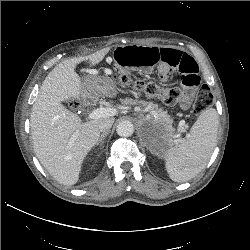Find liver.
I'll return each mask as SVG.
<instances>
[{
  "label": "liver",
  "instance_id": "1",
  "mask_svg": "<svg viewBox=\"0 0 250 250\" xmlns=\"http://www.w3.org/2000/svg\"><path fill=\"white\" fill-rule=\"evenodd\" d=\"M101 49L88 56L62 61L48 74L32 107L30 127L36 157L60 184L71 186L78 182L82 163L100 138L99 123L111 117L80 118L61 102L83 100L84 82L75 72L76 66L89 61L95 66L108 53ZM86 73H93L87 68Z\"/></svg>",
  "mask_w": 250,
  "mask_h": 250
}]
</instances>
